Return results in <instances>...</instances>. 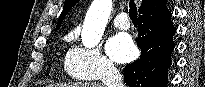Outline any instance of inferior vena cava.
Returning <instances> with one entry per match:
<instances>
[{
	"label": "inferior vena cava",
	"mask_w": 205,
	"mask_h": 87,
	"mask_svg": "<svg viewBox=\"0 0 205 87\" xmlns=\"http://www.w3.org/2000/svg\"><path fill=\"white\" fill-rule=\"evenodd\" d=\"M102 81L105 87H123L122 75L111 63L104 68Z\"/></svg>",
	"instance_id": "inferior-vena-cava-1"
}]
</instances>
